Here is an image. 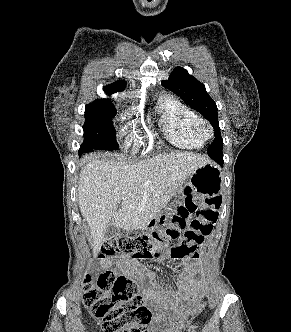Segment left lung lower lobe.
Here are the masks:
<instances>
[{"mask_svg": "<svg viewBox=\"0 0 291 332\" xmlns=\"http://www.w3.org/2000/svg\"><path fill=\"white\" fill-rule=\"evenodd\" d=\"M211 158H213L219 165H223V156L222 154L213 155Z\"/></svg>", "mask_w": 291, "mask_h": 332, "instance_id": "1", "label": "left lung lower lobe"}]
</instances>
